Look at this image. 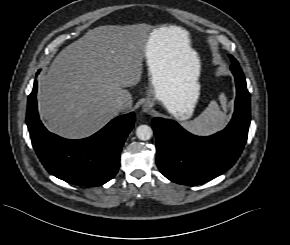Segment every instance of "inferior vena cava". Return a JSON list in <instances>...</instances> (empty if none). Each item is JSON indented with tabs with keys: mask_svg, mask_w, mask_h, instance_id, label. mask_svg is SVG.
<instances>
[{
	"mask_svg": "<svg viewBox=\"0 0 290 245\" xmlns=\"http://www.w3.org/2000/svg\"><path fill=\"white\" fill-rule=\"evenodd\" d=\"M114 108L117 111L121 112L126 109V104L122 100H116V102L114 103Z\"/></svg>",
	"mask_w": 290,
	"mask_h": 245,
	"instance_id": "inferior-vena-cava-1",
	"label": "inferior vena cava"
}]
</instances>
